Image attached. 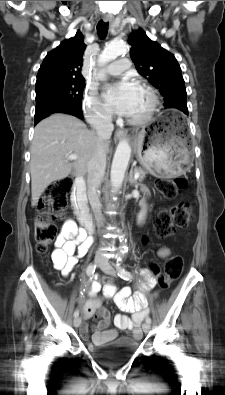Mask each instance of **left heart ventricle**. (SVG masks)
<instances>
[{"label": "left heart ventricle", "mask_w": 225, "mask_h": 395, "mask_svg": "<svg viewBox=\"0 0 225 395\" xmlns=\"http://www.w3.org/2000/svg\"><path fill=\"white\" fill-rule=\"evenodd\" d=\"M150 104V99L143 89H139L138 98L130 118H139L143 116Z\"/></svg>", "instance_id": "b2bd125f"}]
</instances>
